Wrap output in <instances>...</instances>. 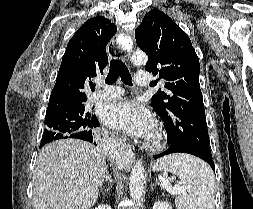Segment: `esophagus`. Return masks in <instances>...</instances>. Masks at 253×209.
<instances>
[{
  "instance_id": "34e87169",
  "label": "esophagus",
  "mask_w": 253,
  "mask_h": 209,
  "mask_svg": "<svg viewBox=\"0 0 253 209\" xmlns=\"http://www.w3.org/2000/svg\"><path fill=\"white\" fill-rule=\"evenodd\" d=\"M114 48H118L124 52V59L129 60L131 53L135 48V39L132 33L129 32H121L116 36L115 42L113 44ZM112 137H114L117 141L123 142L126 144L125 140L120 137L118 134L112 133Z\"/></svg>"
}]
</instances>
